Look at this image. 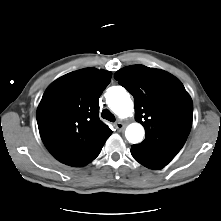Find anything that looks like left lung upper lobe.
I'll return each instance as SVG.
<instances>
[{
    "instance_id": "obj_1",
    "label": "left lung upper lobe",
    "mask_w": 221,
    "mask_h": 221,
    "mask_svg": "<svg viewBox=\"0 0 221 221\" xmlns=\"http://www.w3.org/2000/svg\"><path fill=\"white\" fill-rule=\"evenodd\" d=\"M114 77L134 97L135 119L146 132L141 144L173 159L192 126L193 103L183 84L166 71L143 65L124 67Z\"/></svg>"
}]
</instances>
